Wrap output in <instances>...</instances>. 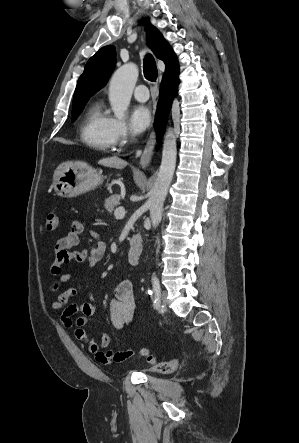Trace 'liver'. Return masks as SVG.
Segmentation results:
<instances>
[{
  "label": "liver",
  "mask_w": 299,
  "mask_h": 443,
  "mask_svg": "<svg viewBox=\"0 0 299 443\" xmlns=\"http://www.w3.org/2000/svg\"><path fill=\"white\" fill-rule=\"evenodd\" d=\"M100 165L111 168H123L126 166V162L117 156L107 157L99 160Z\"/></svg>",
  "instance_id": "obj_1"
}]
</instances>
